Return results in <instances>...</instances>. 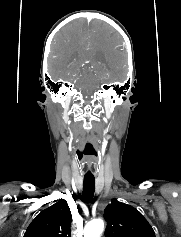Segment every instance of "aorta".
I'll return each instance as SVG.
<instances>
[{
	"label": "aorta",
	"instance_id": "aorta-1",
	"mask_svg": "<svg viewBox=\"0 0 181 237\" xmlns=\"http://www.w3.org/2000/svg\"><path fill=\"white\" fill-rule=\"evenodd\" d=\"M104 230V222L101 219L92 220L84 228V237H100Z\"/></svg>",
	"mask_w": 181,
	"mask_h": 237
}]
</instances>
